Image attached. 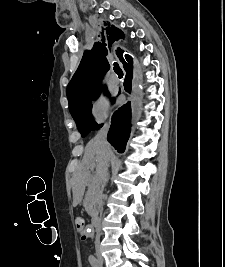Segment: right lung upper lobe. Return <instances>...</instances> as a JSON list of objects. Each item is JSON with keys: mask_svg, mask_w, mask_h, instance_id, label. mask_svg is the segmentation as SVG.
Here are the masks:
<instances>
[{"mask_svg": "<svg viewBox=\"0 0 225 267\" xmlns=\"http://www.w3.org/2000/svg\"><path fill=\"white\" fill-rule=\"evenodd\" d=\"M106 33L102 31V42L94 44L91 51H85L81 62L67 86V98L69 105L80 100L90 89L100 86L102 75L110 68L108 57L111 49L116 47V41L124 38L123 33L114 25L105 23ZM117 56L121 59L124 69L128 66L122 57V51L117 50Z\"/></svg>", "mask_w": 225, "mask_h": 267, "instance_id": "1", "label": "right lung upper lobe"}]
</instances>
